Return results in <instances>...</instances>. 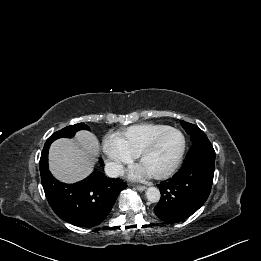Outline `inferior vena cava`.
<instances>
[{
	"instance_id": "1",
	"label": "inferior vena cava",
	"mask_w": 261,
	"mask_h": 261,
	"mask_svg": "<svg viewBox=\"0 0 261 261\" xmlns=\"http://www.w3.org/2000/svg\"><path fill=\"white\" fill-rule=\"evenodd\" d=\"M105 173L108 177L116 178L124 173L123 166L116 162H108L105 165Z\"/></svg>"
}]
</instances>
